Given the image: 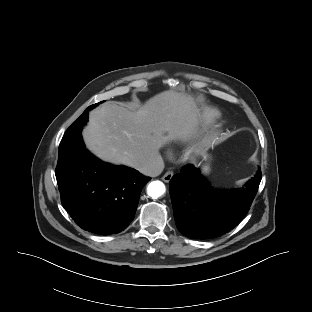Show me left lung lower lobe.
<instances>
[{"label":"left lung lower lobe","mask_w":312,"mask_h":312,"mask_svg":"<svg viewBox=\"0 0 312 312\" xmlns=\"http://www.w3.org/2000/svg\"><path fill=\"white\" fill-rule=\"evenodd\" d=\"M261 168L242 188L216 191L193 165L172 177L170 195L178 230L186 237L209 239L221 236L245 217L258 191Z\"/></svg>","instance_id":"left-lung-lower-lobe-1"}]
</instances>
